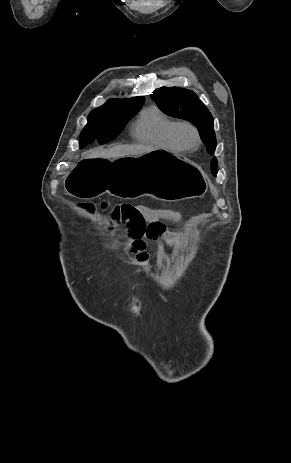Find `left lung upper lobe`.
Instances as JSON below:
<instances>
[{"mask_svg":"<svg viewBox=\"0 0 291 463\" xmlns=\"http://www.w3.org/2000/svg\"><path fill=\"white\" fill-rule=\"evenodd\" d=\"M158 107L167 115L182 118L197 126L199 134L210 153L216 148L213 117L197 95L182 88L161 87L150 95ZM211 171L217 174V159L213 158Z\"/></svg>","mask_w":291,"mask_h":463,"instance_id":"left-lung-upper-lobe-1","label":"left lung upper lobe"}]
</instances>
